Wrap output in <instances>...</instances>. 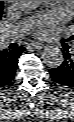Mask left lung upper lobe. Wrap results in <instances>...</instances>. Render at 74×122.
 <instances>
[{
    "label": "left lung upper lobe",
    "instance_id": "1",
    "mask_svg": "<svg viewBox=\"0 0 74 122\" xmlns=\"http://www.w3.org/2000/svg\"><path fill=\"white\" fill-rule=\"evenodd\" d=\"M72 40H74V35L71 37Z\"/></svg>",
    "mask_w": 74,
    "mask_h": 122
}]
</instances>
